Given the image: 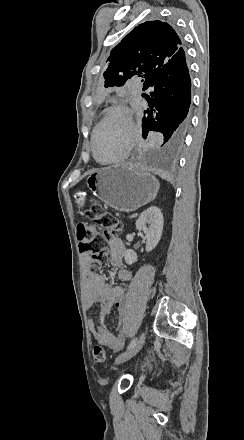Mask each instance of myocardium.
I'll list each match as a JSON object with an SVG mask.
<instances>
[{"label":"myocardium","mask_w":244,"mask_h":440,"mask_svg":"<svg viewBox=\"0 0 244 440\" xmlns=\"http://www.w3.org/2000/svg\"><path fill=\"white\" fill-rule=\"evenodd\" d=\"M112 111H119V112L127 114L133 129L136 127V125L133 121L134 113L128 107H126L124 105H115L111 108V110H107V114L105 115V118H102V122L99 123V126L94 130L93 135H92V155H93L94 159L99 164H102V165H120L127 159L128 154H129L128 151L125 149V144H126V140H127L128 136L123 135L121 145L118 148L119 155L117 157L103 160V159H100L97 155L96 148H95L96 138L99 135L101 128L105 127V123H107V121H108L107 119H109L110 115H112ZM120 133L122 134L121 130H120Z\"/></svg>","instance_id":"obj_1"}]
</instances>
